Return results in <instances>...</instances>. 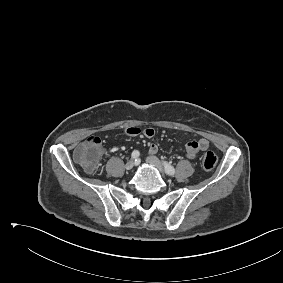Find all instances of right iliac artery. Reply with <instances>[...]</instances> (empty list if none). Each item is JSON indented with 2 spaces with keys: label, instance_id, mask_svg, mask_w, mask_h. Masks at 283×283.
I'll use <instances>...</instances> for the list:
<instances>
[{
  "label": "right iliac artery",
  "instance_id": "obj_1",
  "mask_svg": "<svg viewBox=\"0 0 283 283\" xmlns=\"http://www.w3.org/2000/svg\"><path fill=\"white\" fill-rule=\"evenodd\" d=\"M140 153L137 150H134L131 154V158L134 159L135 161L139 158Z\"/></svg>",
  "mask_w": 283,
  "mask_h": 283
}]
</instances>
